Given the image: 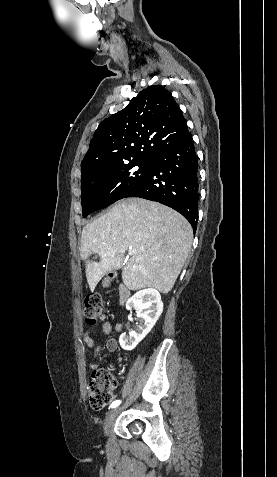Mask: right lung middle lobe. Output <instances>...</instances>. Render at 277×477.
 Listing matches in <instances>:
<instances>
[{"mask_svg":"<svg viewBox=\"0 0 277 477\" xmlns=\"http://www.w3.org/2000/svg\"><path fill=\"white\" fill-rule=\"evenodd\" d=\"M150 169V161H132L81 171L83 217L124 198L144 179ZM118 183L120 184L115 188Z\"/></svg>","mask_w":277,"mask_h":477,"instance_id":"1","label":"right lung middle lobe"}]
</instances>
